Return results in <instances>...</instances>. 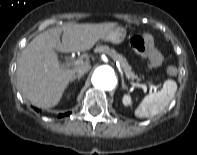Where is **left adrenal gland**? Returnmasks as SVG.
Returning <instances> with one entry per match:
<instances>
[{
  "label": "left adrenal gland",
  "mask_w": 197,
  "mask_h": 155,
  "mask_svg": "<svg viewBox=\"0 0 197 155\" xmlns=\"http://www.w3.org/2000/svg\"><path fill=\"white\" fill-rule=\"evenodd\" d=\"M122 88L123 89H126V85H125V83H124V80L122 79Z\"/></svg>",
  "instance_id": "obj_1"
}]
</instances>
